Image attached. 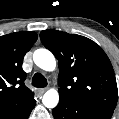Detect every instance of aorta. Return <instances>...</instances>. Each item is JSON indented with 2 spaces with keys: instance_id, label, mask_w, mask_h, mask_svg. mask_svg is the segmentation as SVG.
Returning a JSON list of instances; mask_svg holds the SVG:
<instances>
[{
  "instance_id": "762f6f07",
  "label": "aorta",
  "mask_w": 119,
  "mask_h": 119,
  "mask_svg": "<svg viewBox=\"0 0 119 119\" xmlns=\"http://www.w3.org/2000/svg\"><path fill=\"white\" fill-rule=\"evenodd\" d=\"M34 63L45 71H53L56 67L54 55L47 49H37L33 54ZM42 102L47 108H54L59 102V93L55 89L48 90L42 99Z\"/></svg>"
}]
</instances>
